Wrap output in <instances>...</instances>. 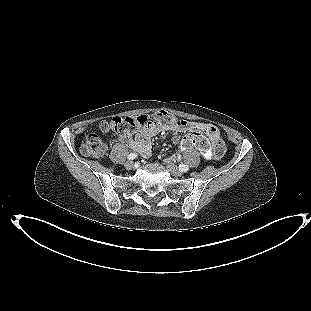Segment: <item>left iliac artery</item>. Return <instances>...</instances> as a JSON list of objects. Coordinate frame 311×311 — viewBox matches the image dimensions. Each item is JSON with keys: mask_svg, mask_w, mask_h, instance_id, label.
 <instances>
[{"mask_svg": "<svg viewBox=\"0 0 311 311\" xmlns=\"http://www.w3.org/2000/svg\"><path fill=\"white\" fill-rule=\"evenodd\" d=\"M179 169L181 170V172H187L189 170V166L185 164H181L179 165Z\"/></svg>", "mask_w": 311, "mask_h": 311, "instance_id": "left-iliac-artery-1", "label": "left iliac artery"}]
</instances>
